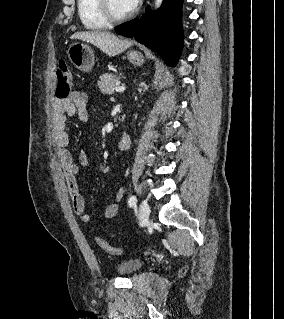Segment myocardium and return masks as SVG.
I'll list each match as a JSON object with an SVG mask.
<instances>
[{
  "mask_svg": "<svg viewBox=\"0 0 284 319\" xmlns=\"http://www.w3.org/2000/svg\"><path fill=\"white\" fill-rule=\"evenodd\" d=\"M100 10L103 16L109 23H121L132 17L133 12H129L125 15H115L110 7L109 0H99Z\"/></svg>",
  "mask_w": 284,
  "mask_h": 319,
  "instance_id": "f54148a6",
  "label": "myocardium"
}]
</instances>
